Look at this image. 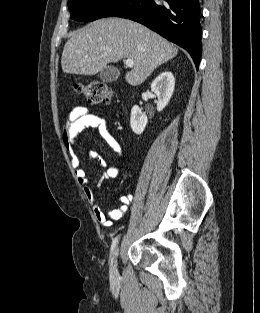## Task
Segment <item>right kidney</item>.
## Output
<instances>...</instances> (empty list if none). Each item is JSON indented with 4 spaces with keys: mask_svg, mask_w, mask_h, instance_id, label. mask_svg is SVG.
Segmentation results:
<instances>
[{
    "mask_svg": "<svg viewBox=\"0 0 260 313\" xmlns=\"http://www.w3.org/2000/svg\"><path fill=\"white\" fill-rule=\"evenodd\" d=\"M175 87V78L170 71L162 72L151 84V91L157 95V111H162L169 103ZM148 123L147 116L139 106L131 110L130 126L132 131L140 135Z\"/></svg>",
    "mask_w": 260,
    "mask_h": 313,
    "instance_id": "1",
    "label": "right kidney"
}]
</instances>
